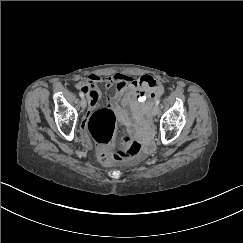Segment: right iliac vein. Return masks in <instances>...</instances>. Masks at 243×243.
Here are the masks:
<instances>
[{
  "instance_id": "63e3f726",
  "label": "right iliac vein",
  "mask_w": 243,
  "mask_h": 243,
  "mask_svg": "<svg viewBox=\"0 0 243 243\" xmlns=\"http://www.w3.org/2000/svg\"><path fill=\"white\" fill-rule=\"evenodd\" d=\"M80 104H81V107H82L83 109H85V108H86V105H87V102H86V100H85L84 98H82Z\"/></svg>"
}]
</instances>
